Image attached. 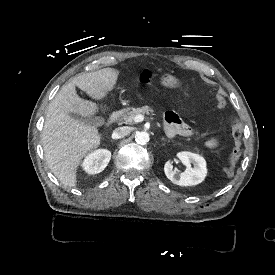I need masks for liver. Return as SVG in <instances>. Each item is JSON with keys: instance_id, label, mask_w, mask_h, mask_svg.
<instances>
[{"instance_id": "6515ba94", "label": "liver", "mask_w": 275, "mask_h": 275, "mask_svg": "<svg viewBox=\"0 0 275 275\" xmlns=\"http://www.w3.org/2000/svg\"><path fill=\"white\" fill-rule=\"evenodd\" d=\"M117 78L118 72L112 68L81 74L64 85L49 104L42 144L48 167L65 186H76L77 166L101 140L95 126L69 116V113H77L87 117L98 112L96 103L81 99L75 87L93 99H101L113 89Z\"/></svg>"}]
</instances>
